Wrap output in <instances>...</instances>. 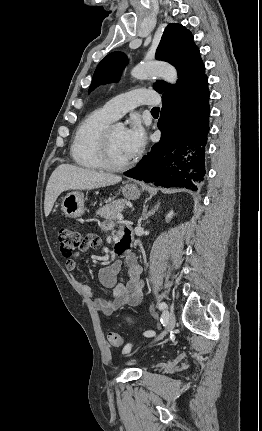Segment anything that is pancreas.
Instances as JSON below:
<instances>
[{"instance_id": "1", "label": "pancreas", "mask_w": 262, "mask_h": 431, "mask_svg": "<svg viewBox=\"0 0 262 431\" xmlns=\"http://www.w3.org/2000/svg\"><path fill=\"white\" fill-rule=\"evenodd\" d=\"M125 200H115L110 204H107L100 208L96 214L101 216L104 219L115 220L124 208H125Z\"/></svg>"}]
</instances>
